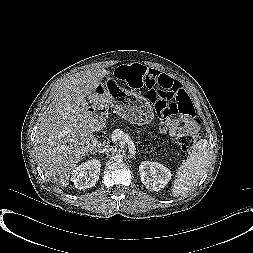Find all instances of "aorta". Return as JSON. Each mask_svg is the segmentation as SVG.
<instances>
[{
	"label": "aorta",
	"instance_id": "1",
	"mask_svg": "<svg viewBox=\"0 0 253 253\" xmlns=\"http://www.w3.org/2000/svg\"><path fill=\"white\" fill-rule=\"evenodd\" d=\"M114 161L115 162H122L123 161V155H121V154H116L115 156H114Z\"/></svg>",
	"mask_w": 253,
	"mask_h": 253
}]
</instances>
